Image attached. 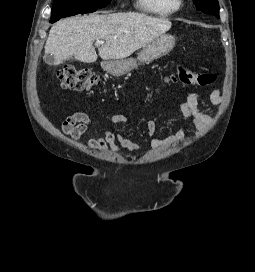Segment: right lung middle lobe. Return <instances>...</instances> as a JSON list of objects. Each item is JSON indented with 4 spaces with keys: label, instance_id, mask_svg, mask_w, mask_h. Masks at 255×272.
Instances as JSON below:
<instances>
[{
    "label": "right lung middle lobe",
    "instance_id": "obj_1",
    "mask_svg": "<svg viewBox=\"0 0 255 272\" xmlns=\"http://www.w3.org/2000/svg\"><path fill=\"white\" fill-rule=\"evenodd\" d=\"M111 0H55L50 22L80 13H92L106 7Z\"/></svg>",
    "mask_w": 255,
    "mask_h": 272
}]
</instances>
